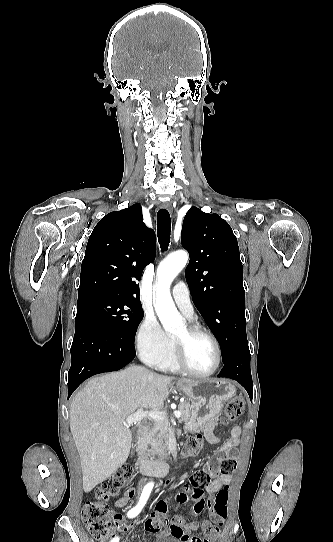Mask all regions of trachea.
<instances>
[{
  "instance_id": "3493384b",
  "label": "trachea",
  "mask_w": 333,
  "mask_h": 542,
  "mask_svg": "<svg viewBox=\"0 0 333 542\" xmlns=\"http://www.w3.org/2000/svg\"><path fill=\"white\" fill-rule=\"evenodd\" d=\"M157 232L161 249L167 250L170 242L171 219L168 210L165 208L158 211Z\"/></svg>"
}]
</instances>
